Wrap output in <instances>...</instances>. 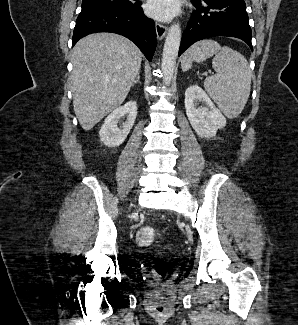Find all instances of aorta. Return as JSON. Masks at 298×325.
<instances>
[{
	"label": "aorta",
	"mask_w": 298,
	"mask_h": 325,
	"mask_svg": "<svg viewBox=\"0 0 298 325\" xmlns=\"http://www.w3.org/2000/svg\"><path fill=\"white\" fill-rule=\"evenodd\" d=\"M182 30L180 22H174L167 30L163 44L161 70L163 72V84L169 86L174 76V70L181 44Z\"/></svg>",
	"instance_id": "obj_1"
}]
</instances>
